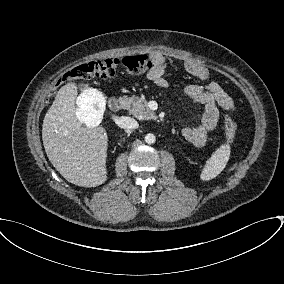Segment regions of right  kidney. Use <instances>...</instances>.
<instances>
[{
  "mask_svg": "<svg viewBox=\"0 0 284 284\" xmlns=\"http://www.w3.org/2000/svg\"><path fill=\"white\" fill-rule=\"evenodd\" d=\"M105 106L103 95L96 89L88 88L77 98L76 117L81 124L89 128L97 127L102 120V112Z\"/></svg>",
  "mask_w": 284,
  "mask_h": 284,
  "instance_id": "right-kidney-1",
  "label": "right kidney"
}]
</instances>
